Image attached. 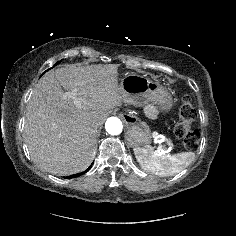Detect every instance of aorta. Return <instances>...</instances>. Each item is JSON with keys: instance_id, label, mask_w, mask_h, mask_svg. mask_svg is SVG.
Masks as SVG:
<instances>
[{"instance_id": "obj_1", "label": "aorta", "mask_w": 236, "mask_h": 236, "mask_svg": "<svg viewBox=\"0 0 236 236\" xmlns=\"http://www.w3.org/2000/svg\"><path fill=\"white\" fill-rule=\"evenodd\" d=\"M105 129L110 135H119L122 132L123 125L119 118L110 117L105 123Z\"/></svg>"}]
</instances>
